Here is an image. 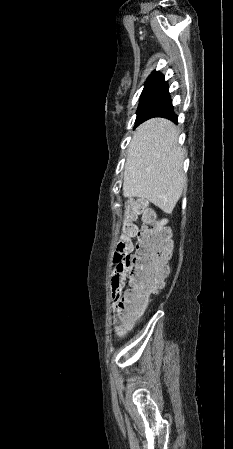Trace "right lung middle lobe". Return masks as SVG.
Here are the masks:
<instances>
[{"label": "right lung middle lobe", "instance_id": "1", "mask_svg": "<svg viewBox=\"0 0 233 449\" xmlns=\"http://www.w3.org/2000/svg\"><path fill=\"white\" fill-rule=\"evenodd\" d=\"M170 107L172 101L168 91L143 93L140 97L135 127Z\"/></svg>", "mask_w": 233, "mask_h": 449}]
</instances>
